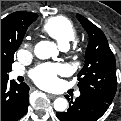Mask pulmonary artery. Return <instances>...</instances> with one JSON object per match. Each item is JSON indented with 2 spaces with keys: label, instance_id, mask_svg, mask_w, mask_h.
Here are the masks:
<instances>
[{
  "label": "pulmonary artery",
  "instance_id": "e3ab8cb5",
  "mask_svg": "<svg viewBox=\"0 0 121 121\" xmlns=\"http://www.w3.org/2000/svg\"><path fill=\"white\" fill-rule=\"evenodd\" d=\"M62 50H66V48H62ZM21 75H23V71H21V70H14V71H12V72L10 73V77H11L12 79H15V78H17L18 76H21ZM75 96H76V97L80 96V92H76V93H75Z\"/></svg>",
  "mask_w": 121,
  "mask_h": 121
}]
</instances>
